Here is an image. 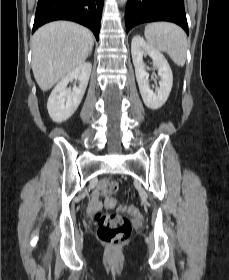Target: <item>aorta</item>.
I'll use <instances>...</instances> for the list:
<instances>
[{"label":"aorta","instance_id":"aorta-1","mask_svg":"<svg viewBox=\"0 0 229 280\" xmlns=\"http://www.w3.org/2000/svg\"><path fill=\"white\" fill-rule=\"evenodd\" d=\"M127 0H120V3L123 4L125 3Z\"/></svg>","mask_w":229,"mask_h":280}]
</instances>
